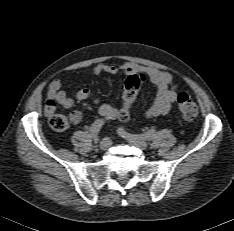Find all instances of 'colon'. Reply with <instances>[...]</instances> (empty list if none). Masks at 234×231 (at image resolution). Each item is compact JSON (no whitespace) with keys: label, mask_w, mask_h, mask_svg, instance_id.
Here are the masks:
<instances>
[{"label":"colon","mask_w":234,"mask_h":231,"mask_svg":"<svg viewBox=\"0 0 234 231\" xmlns=\"http://www.w3.org/2000/svg\"><path fill=\"white\" fill-rule=\"evenodd\" d=\"M143 82L144 76L142 74H131L126 78L122 95L123 105L118 114V119L120 121L126 122L129 120L131 107L136 100L138 91ZM177 104L183 118L186 120H193L196 118L198 106L187 93L181 92L178 94ZM50 124L53 129L57 131H64L69 126L67 118L62 114L53 115L50 119Z\"/></svg>","instance_id":"colon-1"}]
</instances>
